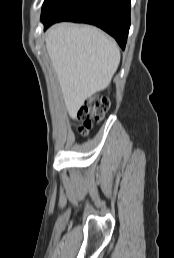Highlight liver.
<instances>
[{"label":"liver","instance_id":"1","mask_svg":"<svg viewBox=\"0 0 174 258\" xmlns=\"http://www.w3.org/2000/svg\"><path fill=\"white\" fill-rule=\"evenodd\" d=\"M46 48L69 115L108 87L120 62L116 42L96 27L60 23L46 32Z\"/></svg>","mask_w":174,"mask_h":258}]
</instances>
